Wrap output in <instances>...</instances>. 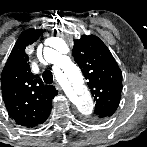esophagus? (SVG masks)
<instances>
[{
	"instance_id": "1",
	"label": "esophagus",
	"mask_w": 147,
	"mask_h": 147,
	"mask_svg": "<svg viewBox=\"0 0 147 147\" xmlns=\"http://www.w3.org/2000/svg\"><path fill=\"white\" fill-rule=\"evenodd\" d=\"M55 86H56L57 89L61 90V86H60V84L58 83V81H55Z\"/></svg>"
}]
</instances>
